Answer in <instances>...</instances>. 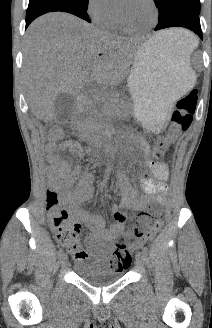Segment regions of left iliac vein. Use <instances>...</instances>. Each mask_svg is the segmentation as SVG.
Segmentation results:
<instances>
[{"label":"left iliac vein","instance_id":"1","mask_svg":"<svg viewBox=\"0 0 212 328\" xmlns=\"http://www.w3.org/2000/svg\"><path fill=\"white\" fill-rule=\"evenodd\" d=\"M135 259H136L137 265L141 266L144 263L145 254L143 252H141V251L140 252H137Z\"/></svg>","mask_w":212,"mask_h":328}]
</instances>
